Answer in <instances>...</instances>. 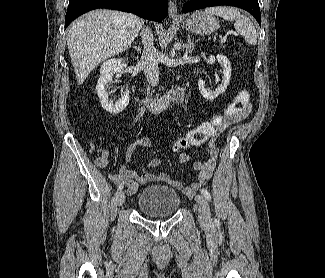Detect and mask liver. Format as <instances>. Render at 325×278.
Listing matches in <instances>:
<instances>
[{
	"instance_id": "obj_1",
	"label": "liver",
	"mask_w": 325,
	"mask_h": 278,
	"mask_svg": "<svg viewBox=\"0 0 325 278\" xmlns=\"http://www.w3.org/2000/svg\"><path fill=\"white\" fill-rule=\"evenodd\" d=\"M143 20L131 13L96 10L75 21L67 45L78 85L102 61L128 49Z\"/></svg>"
}]
</instances>
